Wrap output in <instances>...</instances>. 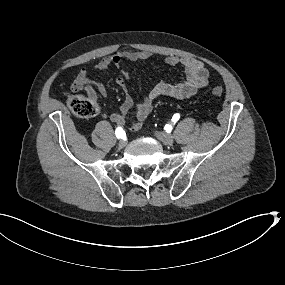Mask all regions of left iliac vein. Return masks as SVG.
Masks as SVG:
<instances>
[{
    "mask_svg": "<svg viewBox=\"0 0 285 285\" xmlns=\"http://www.w3.org/2000/svg\"><path fill=\"white\" fill-rule=\"evenodd\" d=\"M156 137L164 144L171 145L174 142V138L171 134L156 133Z\"/></svg>",
    "mask_w": 285,
    "mask_h": 285,
    "instance_id": "1",
    "label": "left iliac vein"
}]
</instances>
